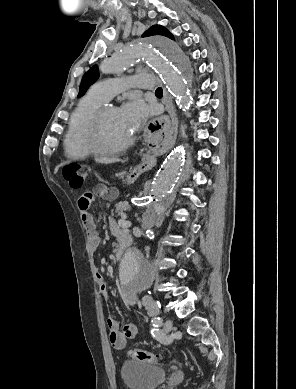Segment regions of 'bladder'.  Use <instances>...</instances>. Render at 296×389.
<instances>
[{
    "mask_svg": "<svg viewBox=\"0 0 296 389\" xmlns=\"http://www.w3.org/2000/svg\"><path fill=\"white\" fill-rule=\"evenodd\" d=\"M166 376L162 367L142 362L127 360L121 367V378L127 389H156Z\"/></svg>",
    "mask_w": 296,
    "mask_h": 389,
    "instance_id": "1",
    "label": "bladder"
}]
</instances>
